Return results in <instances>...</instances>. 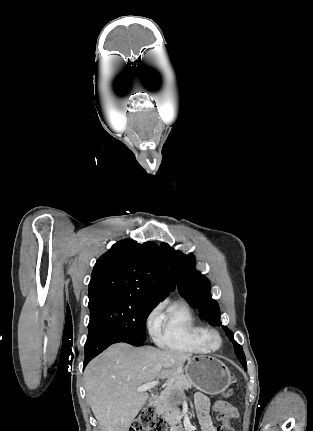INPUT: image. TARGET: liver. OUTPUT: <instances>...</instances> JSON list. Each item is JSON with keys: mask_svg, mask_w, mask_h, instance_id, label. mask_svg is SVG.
<instances>
[{"mask_svg": "<svg viewBox=\"0 0 313 431\" xmlns=\"http://www.w3.org/2000/svg\"><path fill=\"white\" fill-rule=\"evenodd\" d=\"M190 358L185 352L121 342L93 359L85 370V385L101 431H128L148 399L137 389L155 379L175 378Z\"/></svg>", "mask_w": 313, "mask_h": 431, "instance_id": "6515ba94", "label": "liver"}]
</instances>
